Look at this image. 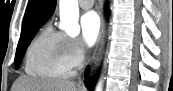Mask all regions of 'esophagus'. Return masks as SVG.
Segmentation results:
<instances>
[{
  "mask_svg": "<svg viewBox=\"0 0 173 91\" xmlns=\"http://www.w3.org/2000/svg\"><path fill=\"white\" fill-rule=\"evenodd\" d=\"M106 35H107V22H106L105 17H103L102 29H101V33H100L98 47H97V50H96L95 55L93 56V59L91 62V73H93L97 69V67L99 66L100 61L102 59Z\"/></svg>",
  "mask_w": 173,
  "mask_h": 91,
  "instance_id": "obj_1",
  "label": "esophagus"
}]
</instances>
